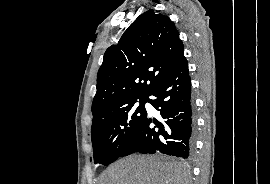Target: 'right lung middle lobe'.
Listing matches in <instances>:
<instances>
[{"label":"right lung middle lobe","instance_id":"obj_1","mask_svg":"<svg viewBox=\"0 0 270 184\" xmlns=\"http://www.w3.org/2000/svg\"><path fill=\"white\" fill-rule=\"evenodd\" d=\"M139 102V106L135 103ZM147 97L126 102L91 127L94 162L105 166L114 162L133 138L147 116Z\"/></svg>","mask_w":270,"mask_h":184}]
</instances>
